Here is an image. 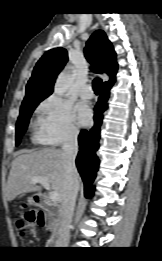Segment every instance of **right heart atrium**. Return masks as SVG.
I'll list each match as a JSON object with an SVG mask.
<instances>
[{
    "label": "right heart atrium",
    "mask_w": 162,
    "mask_h": 261,
    "mask_svg": "<svg viewBox=\"0 0 162 261\" xmlns=\"http://www.w3.org/2000/svg\"><path fill=\"white\" fill-rule=\"evenodd\" d=\"M37 141L63 144L76 139L78 127L73 109L57 95L47 97L39 108Z\"/></svg>",
    "instance_id": "d8ad5b80"
}]
</instances>
